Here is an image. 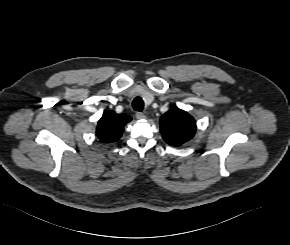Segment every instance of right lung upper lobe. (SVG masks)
<instances>
[{
    "mask_svg": "<svg viewBox=\"0 0 290 245\" xmlns=\"http://www.w3.org/2000/svg\"><path fill=\"white\" fill-rule=\"evenodd\" d=\"M131 120L132 118L128 115L105 112L98 122L97 137L102 142L117 141L122 135L124 125Z\"/></svg>",
    "mask_w": 290,
    "mask_h": 245,
    "instance_id": "cb5924a9",
    "label": "right lung upper lobe"
}]
</instances>
